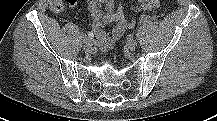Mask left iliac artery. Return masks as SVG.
<instances>
[{"label":"left iliac artery","instance_id":"left-iliac-artery-1","mask_svg":"<svg viewBox=\"0 0 217 121\" xmlns=\"http://www.w3.org/2000/svg\"><path fill=\"white\" fill-rule=\"evenodd\" d=\"M152 22L151 17L147 16V15H142L139 18V24L140 25H146V24H150Z\"/></svg>","mask_w":217,"mask_h":121}]
</instances>
